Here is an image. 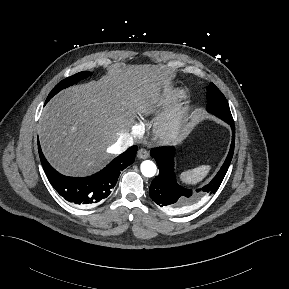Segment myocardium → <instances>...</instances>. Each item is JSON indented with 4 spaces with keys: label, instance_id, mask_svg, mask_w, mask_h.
Masks as SVG:
<instances>
[{
    "label": "myocardium",
    "instance_id": "obj_1",
    "mask_svg": "<svg viewBox=\"0 0 289 289\" xmlns=\"http://www.w3.org/2000/svg\"><path fill=\"white\" fill-rule=\"evenodd\" d=\"M187 120V110L179 106L161 117L155 124L154 132L163 142H170L183 131Z\"/></svg>",
    "mask_w": 289,
    "mask_h": 289
}]
</instances>
